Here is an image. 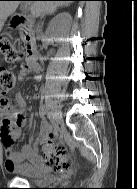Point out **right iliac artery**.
<instances>
[{
    "mask_svg": "<svg viewBox=\"0 0 137 189\" xmlns=\"http://www.w3.org/2000/svg\"><path fill=\"white\" fill-rule=\"evenodd\" d=\"M40 114L42 116H46L48 118L49 125H52V114L50 112H47L46 110L42 109Z\"/></svg>",
    "mask_w": 137,
    "mask_h": 189,
    "instance_id": "obj_1",
    "label": "right iliac artery"
}]
</instances>
